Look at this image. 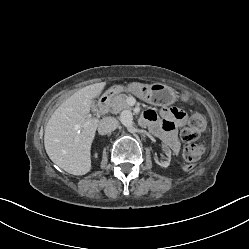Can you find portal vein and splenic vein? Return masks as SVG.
I'll use <instances>...</instances> for the list:
<instances>
[{
  "mask_svg": "<svg viewBox=\"0 0 249 249\" xmlns=\"http://www.w3.org/2000/svg\"><path fill=\"white\" fill-rule=\"evenodd\" d=\"M87 117H89L91 119V114H88ZM90 123V120L87 122V124Z\"/></svg>",
  "mask_w": 249,
  "mask_h": 249,
  "instance_id": "obj_1",
  "label": "portal vein and splenic vein"
}]
</instances>
